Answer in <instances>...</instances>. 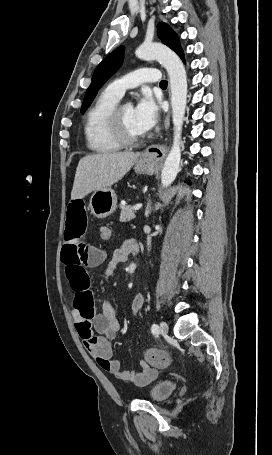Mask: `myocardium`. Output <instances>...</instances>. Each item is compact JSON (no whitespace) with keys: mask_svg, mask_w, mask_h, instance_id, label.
Returning a JSON list of instances; mask_svg holds the SVG:
<instances>
[{"mask_svg":"<svg viewBox=\"0 0 272 455\" xmlns=\"http://www.w3.org/2000/svg\"><path fill=\"white\" fill-rule=\"evenodd\" d=\"M127 106L124 103H117L110 111L107 124L110 135L122 147H133L141 143L143 136H130L124 127L122 110Z\"/></svg>","mask_w":272,"mask_h":455,"instance_id":"1","label":"myocardium"}]
</instances>
